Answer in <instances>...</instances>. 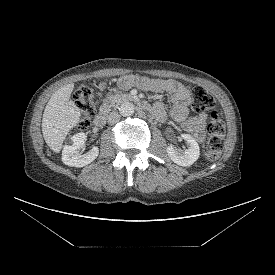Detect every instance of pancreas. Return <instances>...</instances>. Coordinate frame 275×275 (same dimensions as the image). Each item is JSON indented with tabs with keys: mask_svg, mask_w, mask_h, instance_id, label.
Listing matches in <instances>:
<instances>
[{
	"mask_svg": "<svg viewBox=\"0 0 275 275\" xmlns=\"http://www.w3.org/2000/svg\"><path fill=\"white\" fill-rule=\"evenodd\" d=\"M132 97L130 94L122 93L120 91H115L114 93H111L107 95V97L104 100V106L106 108H111L119 105L120 103L130 100Z\"/></svg>",
	"mask_w": 275,
	"mask_h": 275,
	"instance_id": "obj_1",
	"label": "pancreas"
}]
</instances>
